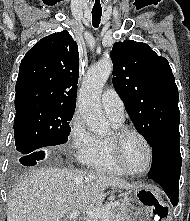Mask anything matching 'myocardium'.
Returning <instances> with one entry per match:
<instances>
[{"label":"myocardium","instance_id":"obj_1","mask_svg":"<svg viewBox=\"0 0 190 221\" xmlns=\"http://www.w3.org/2000/svg\"><path fill=\"white\" fill-rule=\"evenodd\" d=\"M129 134H133L139 137L147 148L148 163L144 170H141V171L131 170L125 165L123 161L122 154H121V143L124 137ZM107 142H108L109 149H110L111 155L115 163L126 174L133 175V176H141V175L147 174L151 170L153 161H154V152H153L152 145L147 139V137L136 128L126 127V126L115 128L111 132V134L107 137Z\"/></svg>","mask_w":190,"mask_h":221}]
</instances>
